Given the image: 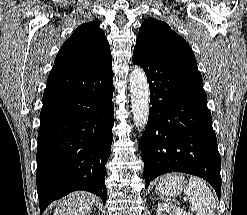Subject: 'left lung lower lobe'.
Returning <instances> with one entry per match:
<instances>
[{
    "label": "left lung lower lobe",
    "mask_w": 247,
    "mask_h": 215,
    "mask_svg": "<svg viewBox=\"0 0 247 215\" xmlns=\"http://www.w3.org/2000/svg\"><path fill=\"white\" fill-rule=\"evenodd\" d=\"M150 87L149 121L140 140L146 188L168 172L202 177L221 194V159L202 77L196 66L166 61L134 47Z\"/></svg>",
    "instance_id": "obj_1"
}]
</instances>
